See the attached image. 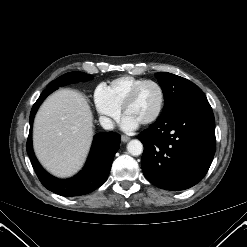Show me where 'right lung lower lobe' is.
<instances>
[{"mask_svg":"<svg viewBox=\"0 0 247 247\" xmlns=\"http://www.w3.org/2000/svg\"><path fill=\"white\" fill-rule=\"evenodd\" d=\"M56 89L55 87L45 89L32 107L27 153L39 180L48 190L66 197L84 195L97 189L107 180L114 156L119 149L120 135L114 132L96 134L86 165L76 176L58 179L50 175L35 157L32 147V124L43 100Z\"/></svg>","mask_w":247,"mask_h":247,"instance_id":"1","label":"right lung lower lobe"}]
</instances>
